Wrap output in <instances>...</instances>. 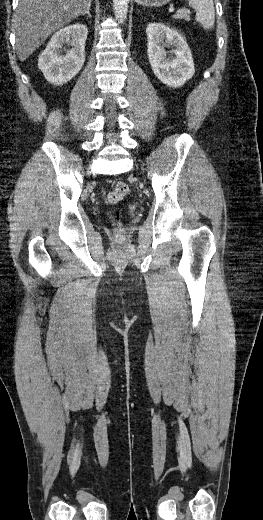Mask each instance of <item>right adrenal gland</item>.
<instances>
[{
    "label": "right adrenal gland",
    "mask_w": 263,
    "mask_h": 520,
    "mask_svg": "<svg viewBox=\"0 0 263 520\" xmlns=\"http://www.w3.org/2000/svg\"><path fill=\"white\" fill-rule=\"evenodd\" d=\"M88 16L89 18H91V14H90V8L82 15V16Z\"/></svg>",
    "instance_id": "right-adrenal-gland-1"
}]
</instances>
